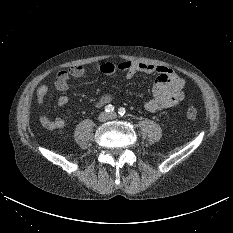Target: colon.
Listing matches in <instances>:
<instances>
[{"label":"colon","mask_w":233,"mask_h":233,"mask_svg":"<svg viewBox=\"0 0 233 233\" xmlns=\"http://www.w3.org/2000/svg\"><path fill=\"white\" fill-rule=\"evenodd\" d=\"M186 116L189 120H196L198 117L197 110L193 106H189L186 110Z\"/></svg>","instance_id":"colon-1"}]
</instances>
